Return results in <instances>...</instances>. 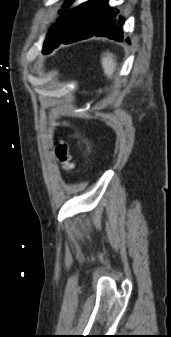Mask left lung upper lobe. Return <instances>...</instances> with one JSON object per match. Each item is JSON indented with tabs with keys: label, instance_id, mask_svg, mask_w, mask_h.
Masks as SVG:
<instances>
[{
	"label": "left lung upper lobe",
	"instance_id": "obj_1",
	"mask_svg": "<svg viewBox=\"0 0 171 337\" xmlns=\"http://www.w3.org/2000/svg\"><path fill=\"white\" fill-rule=\"evenodd\" d=\"M73 0H67L66 5H69ZM85 3L63 13V16L58 19V23H55L47 35V39L44 44L43 52L50 53L57 44L64 39L75 27L79 21L83 12ZM66 8V6H64Z\"/></svg>",
	"mask_w": 171,
	"mask_h": 337
}]
</instances>
